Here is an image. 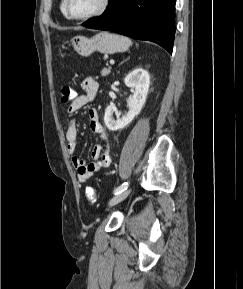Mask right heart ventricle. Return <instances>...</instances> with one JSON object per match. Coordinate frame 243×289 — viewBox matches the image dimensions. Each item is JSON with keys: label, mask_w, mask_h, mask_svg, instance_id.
Masks as SVG:
<instances>
[{"label": "right heart ventricle", "mask_w": 243, "mask_h": 289, "mask_svg": "<svg viewBox=\"0 0 243 289\" xmlns=\"http://www.w3.org/2000/svg\"><path fill=\"white\" fill-rule=\"evenodd\" d=\"M60 10L62 12V14L67 17L66 13H65V9H64V0H61V3H60Z\"/></svg>", "instance_id": "obj_1"}]
</instances>
